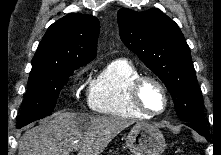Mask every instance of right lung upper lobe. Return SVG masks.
Returning a JSON list of instances; mask_svg holds the SVG:
<instances>
[{
    "label": "right lung upper lobe",
    "instance_id": "right-lung-upper-lobe-1",
    "mask_svg": "<svg viewBox=\"0 0 221 155\" xmlns=\"http://www.w3.org/2000/svg\"><path fill=\"white\" fill-rule=\"evenodd\" d=\"M99 31L97 18L70 13L48 28L32 63L86 64L96 57Z\"/></svg>",
    "mask_w": 221,
    "mask_h": 155
}]
</instances>
